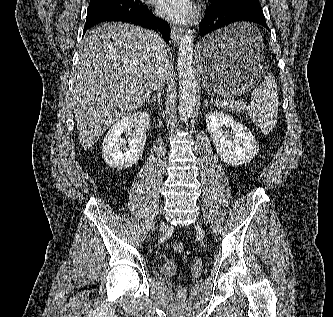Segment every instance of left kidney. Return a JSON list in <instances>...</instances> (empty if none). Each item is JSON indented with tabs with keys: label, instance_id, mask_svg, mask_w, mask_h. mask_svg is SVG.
<instances>
[{
	"label": "left kidney",
	"instance_id": "obj_1",
	"mask_svg": "<svg viewBox=\"0 0 333 317\" xmlns=\"http://www.w3.org/2000/svg\"><path fill=\"white\" fill-rule=\"evenodd\" d=\"M206 126L218 156L226 164L242 165L250 162L257 154L259 147L253 134L245 125L226 113H207Z\"/></svg>",
	"mask_w": 333,
	"mask_h": 317
}]
</instances>
